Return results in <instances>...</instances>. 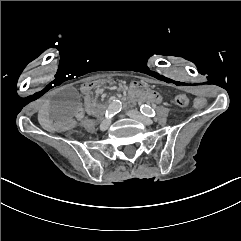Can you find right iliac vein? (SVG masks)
Returning a JSON list of instances; mask_svg holds the SVG:
<instances>
[{
    "mask_svg": "<svg viewBox=\"0 0 241 241\" xmlns=\"http://www.w3.org/2000/svg\"><path fill=\"white\" fill-rule=\"evenodd\" d=\"M110 123H111L110 119L103 120L102 123L100 124V130L105 131L106 129H108V127L110 126Z\"/></svg>",
    "mask_w": 241,
    "mask_h": 241,
    "instance_id": "right-iliac-vein-1",
    "label": "right iliac vein"
}]
</instances>
